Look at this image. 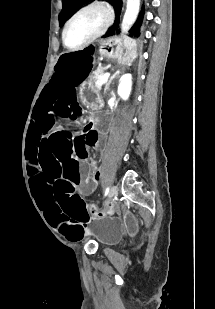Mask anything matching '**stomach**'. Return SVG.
I'll return each instance as SVG.
<instances>
[{
	"label": "stomach",
	"mask_w": 215,
	"mask_h": 309,
	"mask_svg": "<svg viewBox=\"0 0 215 309\" xmlns=\"http://www.w3.org/2000/svg\"><path fill=\"white\" fill-rule=\"evenodd\" d=\"M99 53L101 56L120 64L129 63L136 56L137 43L136 40L127 35L106 38L99 44ZM99 90L94 81L89 79L83 84L81 95L88 101L97 103L101 100Z\"/></svg>",
	"instance_id": "obj_1"
}]
</instances>
